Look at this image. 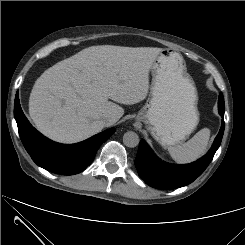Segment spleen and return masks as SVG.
Segmentation results:
<instances>
[{
	"label": "spleen",
	"mask_w": 245,
	"mask_h": 245,
	"mask_svg": "<svg viewBox=\"0 0 245 245\" xmlns=\"http://www.w3.org/2000/svg\"><path fill=\"white\" fill-rule=\"evenodd\" d=\"M210 138V129L203 128L182 145L169 147L172 159L179 164L191 163L206 153Z\"/></svg>",
	"instance_id": "spleen-1"
}]
</instances>
